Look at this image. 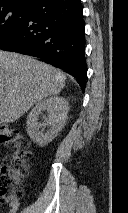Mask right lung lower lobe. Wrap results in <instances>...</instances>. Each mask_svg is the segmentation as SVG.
Wrapping results in <instances>:
<instances>
[{"label":"right lung lower lobe","instance_id":"1","mask_svg":"<svg viewBox=\"0 0 128 213\" xmlns=\"http://www.w3.org/2000/svg\"><path fill=\"white\" fill-rule=\"evenodd\" d=\"M80 0H39L24 23L0 41V49L39 57L86 86L87 65Z\"/></svg>","mask_w":128,"mask_h":213}]
</instances>
